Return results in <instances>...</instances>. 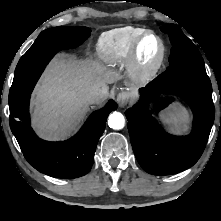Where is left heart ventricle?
Returning a JSON list of instances; mask_svg holds the SVG:
<instances>
[{"label":"left heart ventricle","mask_w":221,"mask_h":221,"mask_svg":"<svg viewBox=\"0 0 221 221\" xmlns=\"http://www.w3.org/2000/svg\"><path fill=\"white\" fill-rule=\"evenodd\" d=\"M159 50L160 45L158 40L153 36L147 37L140 50L142 62L146 65L152 64L156 60Z\"/></svg>","instance_id":"1"}]
</instances>
